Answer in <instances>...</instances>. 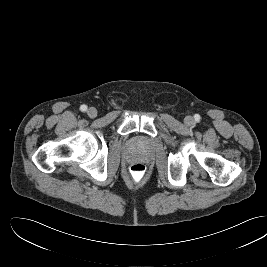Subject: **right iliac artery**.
Here are the masks:
<instances>
[{
  "label": "right iliac artery",
  "mask_w": 267,
  "mask_h": 267,
  "mask_svg": "<svg viewBox=\"0 0 267 267\" xmlns=\"http://www.w3.org/2000/svg\"><path fill=\"white\" fill-rule=\"evenodd\" d=\"M80 110H81L82 112H85V111L87 110V106H86V105H81V106H80Z\"/></svg>",
  "instance_id": "obj_1"
}]
</instances>
